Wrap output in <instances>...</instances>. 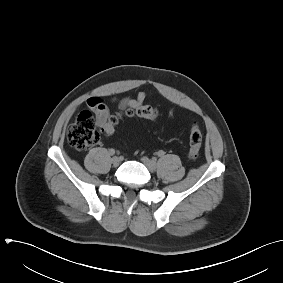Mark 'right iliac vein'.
<instances>
[{
  "label": "right iliac vein",
  "mask_w": 283,
  "mask_h": 283,
  "mask_svg": "<svg viewBox=\"0 0 283 283\" xmlns=\"http://www.w3.org/2000/svg\"><path fill=\"white\" fill-rule=\"evenodd\" d=\"M111 162H112V165H113L114 167H118L119 164H120V162H121V160H120L119 157L115 156V157H113V158L111 159Z\"/></svg>",
  "instance_id": "63e3f726"
}]
</instances>
